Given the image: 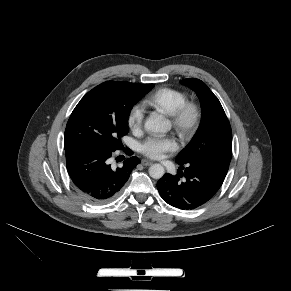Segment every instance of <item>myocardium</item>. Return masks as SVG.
Wrapping results in <instances>:
<instances>
[{"label": "myocardium", "instance_id": "obj_1", "mask_svg": "<svg viewBox=\"0 0 291 291\" xmlns=\"http://www.w3.org/2000/svg\"><path fill=\"white\" fill-rule=\"evenodd\" d=\"M169 117L172 127L178 135L183 140H188L194 135L200 125L202 111L198 103L186 101Z\"/></svg>", "mask_w": 291, "mask_h": 291}]
</instances>
